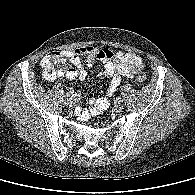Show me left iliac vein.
Wrapping results in <instances>:
<instances>
[{"mask_svg":"<svg viewBox=\"0 0 195 195\" xmlns=\"http://www.w3.org/2000/svg\"><path fill=\"white\" fill-rule=\"evenodd\" d=\"M122 109H123V105H122V103L121 102H116L115 104H114V106H113V110L115 111V112H120V111H122Z\"/></svg>","mask_w":195,"mask_h":195,"instance_id":"4c4485c4","label":"left iliac vein"}]
</instances>
